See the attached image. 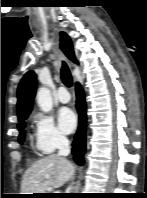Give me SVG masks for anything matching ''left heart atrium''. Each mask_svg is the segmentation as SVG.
Wrapping results in <instances>:
<instances>
[{"instance_id": "left-heart-atrium-1", "label": "left heart atrium", "mask_w": 147, "mask_h": 198, "mask_svg": "<svg viewBox=\"0 0 147 198\" xmlns=\"http://www.w3.org/2000/svg\"><path fill=\"white\" fill-rule=\"evenodd\" d=\"M58 123L63 133L70 134L74 131L77 124L76 114L69 108H63L59 111Z\"/></svg>"}]
</instances>
